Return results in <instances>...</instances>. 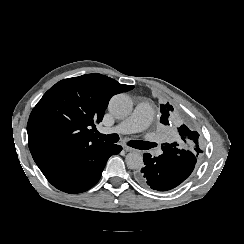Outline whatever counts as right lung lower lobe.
I'll return each instance as SVG.
<instances>
[{
  "label": "right lung lower lobe",
  "instance_id": "right-lung-lower-lobe-1",
  "mask_svg": "<svg viewBox=\"0 0 244 244\" xmlns=\"http://www.w3.org/2000/svg\"><path fill=\"white\" fill-rule=\"evenodd\" d=\"M121 146L98 143L38 164L47 180L57 189L67 193H80L95 185L108 158L118 154Z\"/></svg>",
  "mask_w": 244,
  "mask_h": 244
}]
</instances>
